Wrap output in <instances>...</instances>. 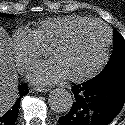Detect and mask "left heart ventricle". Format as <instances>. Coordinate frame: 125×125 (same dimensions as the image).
I'll use <instances>...</instances> for the list:
<instances>
[{
    "label": "left heart ventricle",
    "mask_w": 125,
    "mask_h": 125,
    "mask_svg": "<svg viewBox=\"0 0 125 125\" xmlns=\"http://www.w3.org/2000/svg\"><path fill=\"white\" fill-rule=\"evenodd\" d=\"M105 40V31L101 26L86 25L51 54L59 60L68 76L80 75L97 64L103 53Z\"/></svg>",
    "instance_id": "obj_1"
}]
</instances>
